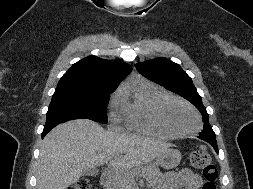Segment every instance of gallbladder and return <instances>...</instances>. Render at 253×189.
<instances>
[{
    "label": "gallbladder",
    "mask_w": 253,
    "mask_h": 189,
    "mask_svg": "<svg viewBox=\"0 0 253 189\" xmlns=\"http://www.w3.org/2000/svg\"><path fill=\"white\" fill-rule=\"evenodd\" d=\"M98 174V171L96 169H84L82 171V175L85 176V175H91V176H95Z\"/></svg>",
    "instance_id": "gallbladder-1"
}]
</instances>
